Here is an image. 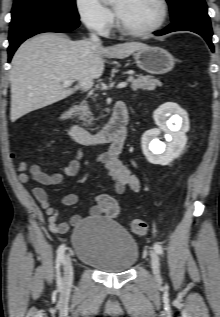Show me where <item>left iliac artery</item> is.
<instances>
[{"mask_svg":"<svg viewBox=\"0 0 220 317\" xmlns=\"http://www.w3.org/2000/svg\"><path fill=\"white\" fill-rule=\"evenodd\" d=\"M153 249L155 250L156 253H158L159 255H162L163 254V248L160 244L158 243H155L153 245Z\"/></svg>","mask_w":220,"mask_h":317,"instance_id":"left-iliac-artery-1","label":"left iliac artery"}]
</instances>
